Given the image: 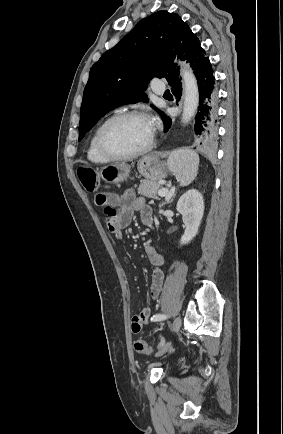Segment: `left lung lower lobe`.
I'll return each instance as SVG.
<instances>
[{"mask_svg":"<svg viewBox=\"0 0 283 434\" xmlns=\"http://www.w3.org/2000/svg\"><path fill=\"white\" fill-rule=\"evenodd\" d=\"M194 74L198 83L199 106L195 117V142L204 148H212L217 141L218 122V91L209 58L201 62L195 69ZM171 91L180 99L182 95V83L171 86ZM164 131H168L172 120L166 117L164 120Z\"/></svg>","mask_w":283,"mask_h":434,"instance_id":"obj_1","label":"left lung lower lobe"}]
</instances>
